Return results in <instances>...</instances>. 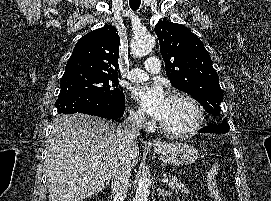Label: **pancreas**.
<instances>
[{
  "mask_svg": "<svg viewBox=\"0 0 271 201\" xmlns=\"http://www.w3.org/2000/svg\"><path fill=\"white\" fill-rule=\"evenodd\" d=\"M168 187L172 191L181 190L184 193H189V190L186 188L185 184L181 182L180 180H178L176 177L170 178L168 182Z\"/></svg>",
  "mask_w": 271,
  "mask_h": 201,
  "instance_id": "pancreas-1",
  "label": "pancreas"
}]
</instances>
